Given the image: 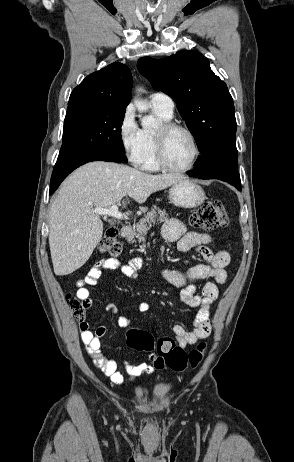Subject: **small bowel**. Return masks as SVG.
Segmentation results:
<instances>
[{
	"mask_svg": "<svg viewBox=\"0 0 294 462\" xmlns=\"http://www.w3.org/2000/svg\"><path fill=\"white\" fill-rule=\"evenodd\" d=\"M162 235L166 241L176 242L180 252H187L195 248L203 257L204 262L197 264L186 271L172 269H160L159 274L166 282L175 287L182 288L180 292L181 301L197 309L193 326L190 330L182 325H174L173 332L180 348L197 343L208 337L211 333V323L209 318L210 308L218 297V286L223 285L227 278L226 266L230 257L225 250L212 251L207 246L212 244V238L208 234L188 232L186 226L178 219H169L162 227ZM143 266V259L136 257L128 263L122 264L115 258L103 259L95 263L84 278L76 283V297L82 301L85 310L92 305L88 287L96 285L102 271L120 269L121 272L129 277L136 278L138 270ZM212 278L202 287L201 294H198L195 282L198 280ZM150 306L147 302H140V312H147ZM107 310L116 314L117 308L114 304H109ZM117 324L121 328H127L131 320L124 316L117 318ZM81 341L86 347L88 355L91 357L94 366L102 371L116 385L124 382V376L119 372L117 362L108 357L101 349V339L106 334V327L99 326L94 331L90 329L89 323L83 320L79 325ZM123 369L129 381H133L142 374H151L156 369L154 365L147 363L131 364L124 360Z\"/></svg>",
	"mask_w": 294,
	"mask_h": 462,
	"instance_id": "small-bowel-1",
	"label": "small bowel"
}]
</instances>
